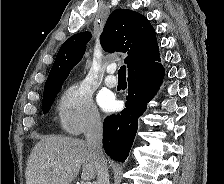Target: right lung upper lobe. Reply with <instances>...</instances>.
<instances>
[{"mask_svg":"<svg viewBox=\"0 0 224 184\" xmlns=\"http://www.w3.org/2000/svg\"><path fill=\"white\" fill-rule=\"evenodd\" d=\"M90 38L89 32H81L62 44L46 80L44 94L61 88L71 69L82 59ZM100 39L102 48L107 52H127L124 62L128 67V76L160 61L155 30L148 19L138 12L114 10Z\"/></svg>","mask_w":224,"mask_h":184,"instance_id":"1","label":"right lung upper lobe"}]
</instances>
